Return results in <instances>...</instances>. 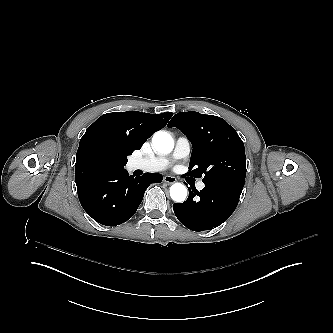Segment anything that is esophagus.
I'll list each match as a JSON object with an SVG mask.
<instances>
[{
    "mask_svg": "<svg viewBox=\"0 0 333 333\" xmlns=\"http://www.w3.org/2000/svg\"><path fill=\"white\" fill-rule=\"evenodd\" d=\"M163 180H164V182L169 183V184L175 183L177 181L176 177H173L170 175H166Z\"/></svg>",
    "mask_w": 333,
    "mask_h": 333,
    "instance_id": "esophagus-1",
    "label": "esophagus"
}]
</instances>
